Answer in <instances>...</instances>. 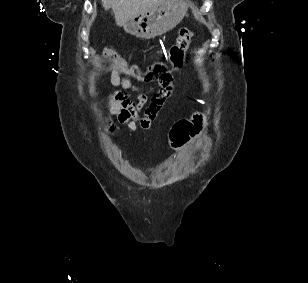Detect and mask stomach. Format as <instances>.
Returning <instances> with one entry per match:
<instances>
[{
  "label": "stomach",
  "mask_w": 308,
  "mask_h": 283,
  "mask_svg": "<svg viewBox=\"0 0 308 283\" xmlns=\"http://www.w3.org/2000/svg\"><path fill=\"white\" fill-rule=\"evenodd\" d=\"M188 10V0H170L130 18L124 30L140 39L162 35L179 24Z\"/></svg>",
  "instance_id": "obj_1"
}]
</instances>
